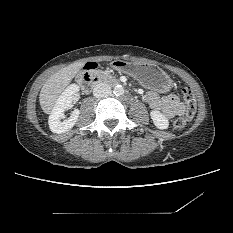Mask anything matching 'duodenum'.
Listing matches in <instances>:
<instances>
[{
  "label": "duodenum",
  "mask_w": 233,
  "mask_h": 233,
  "mask_svg": "<svg viewBox=\"0 0 233 233\" xmlns=\"http://www.w3.org/2000/svg\"><path fill=\"white\" fill-rule=\"evenodd\" d=\"M78 82L85 90H90L99 82V78L95 74H93L92 70H85L79 75ZM113 84L117 85L121 84V82L115 80L113 81Z\"/></svg>",
  "instance_id": "obj_1"
}]
</instances>
